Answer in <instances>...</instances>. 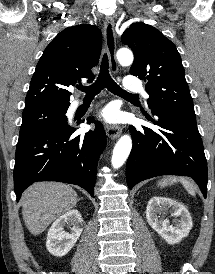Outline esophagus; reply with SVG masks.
<instances>
[{
	"instance_id": "esophagus-1",
	"label": "esophagus",
	"mask_w": 215,
	"mask_h": 274,
	"mask_svg": "<svg viewBox=\"0 0 215 274\" xmlns=\"http://www.w3.org/2000/svg\"><path fill=\"white\" fill-rule=\"evenodd\" d=\"M104 37L106 43V49L110 60V66L113 73L118 71L117 62L115 58L116 52V35H115V24L113 18L109 17L104 23ZM106 134L111 139L118 138L122 129L119 126L106 125Z\"/></svg>"
}]
</instances>
